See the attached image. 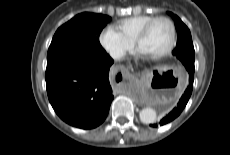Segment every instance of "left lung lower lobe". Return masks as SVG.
I'll list each match as a JSON object with an SVG mask.
<instances>
[{
	"mask_svg": "<svg viewBox=\"0 0 230 155\" xmlns=\"http://www.w3.org/2000/svg\"><path fill=\"white\" fill-rule=\"evenodd\" d=\"M179 58L189 74V84L186 90L184 91V93L182 94L181 98L179 99V102L174 107V109L168 115H166L158 124L157 123L151 124L150 125L151 127H157L158 125H165L171 122L172 120H174L176 117H178L182 112V110L184 109V107L186 106L191 96L192 89H193V81H194V70H195L194 61L190 60L187 57H179Z\"/></svg>",
	"mask_w": 230,
	"mask_h": 155,
	"instance_id": "1",
	"label": "left lung lower lobe"
}]
</instances>
